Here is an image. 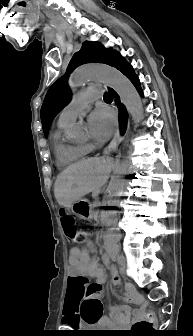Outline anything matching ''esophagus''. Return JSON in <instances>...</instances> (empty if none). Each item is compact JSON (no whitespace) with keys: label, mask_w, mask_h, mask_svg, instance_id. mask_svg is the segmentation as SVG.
<instances>
[{"label":"esophagus","mask_w":193,"mask_h":336,"mask_svg":"<svg viewBox=\"0 0 193 336\" xmlns=\"http://www.w3.org/2000/svg\"><path fill=\"white\" fill-rule=\"evenodd\" d=\"M123 139L122 134L120 133L119 128H117L113 139L111 140V142L108 144V146L104 149L103 151V156L107 157L110 154L114 153L115 150L118 148L119 144L121 143Z\"/></svg>","instance_id":"esophagus-1"}]
</instances>
